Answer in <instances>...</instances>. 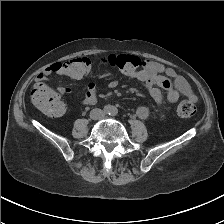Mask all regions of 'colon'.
Instances as JSON below:
<instances>
[{
  "label": "colon",
  "mask_w": 224,
  "mask_h": 224,
  "mask_svg": "<svg viewBox=\"0 0 224 224\" xmlns=\"http://www.w3.org/2000/svg\"><path fill=\"white\" fill-rule=\"evenodd\" d=\"M99 65L109 66L124 75H130L142 67L140 58L126 54H110L96 61ZM94 62L87 57H77L62 62L63 75L72 79L87 76L93 69ZM31 100L35 107L42 113L59 117L65 111V105L58 95L47 85H35L31 92ZM178 114L182 118H190L196 113L195 104L189 100H181L178 104Z\"/></svg>",
  "instance_id": "obj_1"
}]
</instances>
